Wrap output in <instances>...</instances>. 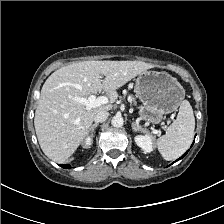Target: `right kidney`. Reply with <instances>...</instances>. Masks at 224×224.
I'll return each mask as SVG.
<instances>
[{"label":"right kidney","instance_id":"right-kidney-1","mask_svg":"<svg viewBox=\"0 0 224 224\" xmlns=\"http://www.w3.org/2000/svg\"><path fill=\"white\" fill-rule=\"evenodd\" d=\"M91 144H92V138L91 137H87L85 139V147H90Z\"/></svg>","mask_w":224,"mask_h":224}]
</instances>
